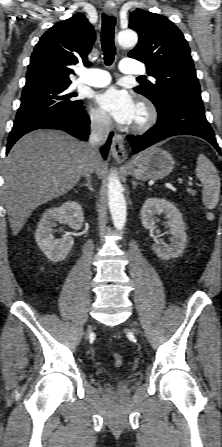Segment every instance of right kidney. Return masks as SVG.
<instances>
[{
    "label": "right kidney",
    "instance_id": "obj_1",
    "mask_svg": "<svg viewBox=\"0 0 222 447\" xmlns=\"http://www.w3.org/2000/svg\"><path fill=\"white\" fill-rule=\"evenodd\" d=\"M63 220L72 229L79 230L84 221L81 205L75 201H67L59 207L47 210L40 219L35 233L39 248L52 262L64 260L74 245V239L69 235H63L60 239L53 237L52 227L56 222Z\"/></svg>",
    "mask_w": 222,
    "mask_h": 447
}]
</instances>
